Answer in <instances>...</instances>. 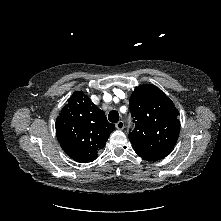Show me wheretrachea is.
<instances>
[{
  "label": "trachea",
  "instance_id": "1",
  "mask_svg": "<svg viewBox=\"0 0 221 221\" xmlns=\"http://www.w3.org/2000/svg\"><path fill=\"white\" fill-rule=\"evenodd\" d=\"M108 119L112 123H117L119 121V113L116 110L110 111Z\"/></svg>",
  "mask_w": 221,
  "mask_h": 221
}]
</instances>
